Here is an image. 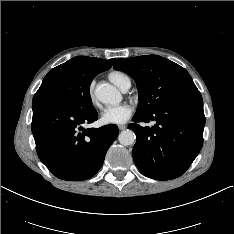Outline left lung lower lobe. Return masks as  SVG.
<instances>
[{
	"label": "left lung lower lobe",
	"mask_w": 234,
	"mask_h": 234,
	"mask_svg": "<svg viewBox=\"0 0 234 234\" xmlns=\"http://www.w3.org/2000/svg\"><path fill=\"white\" fill-rule=\"evenodd\" d=\"M128 128L136 134L133 159L139 171L152 179L181 176L203 145L205 116L200 92L193 91L162 105L154 112L133 117ZM155 121L151 128L139 122Z\"/></svg>",
	"instance_id": "left-lung-lower-lobe-1"
}]
</instances>
